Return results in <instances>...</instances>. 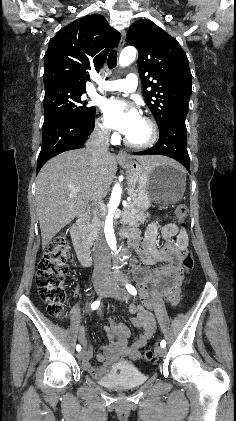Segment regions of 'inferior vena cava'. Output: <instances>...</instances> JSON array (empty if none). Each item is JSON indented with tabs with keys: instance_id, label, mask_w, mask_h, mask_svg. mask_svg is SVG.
Returning a JSON list of instances; mask_svg holds the SVG:
<instances>
[{
	"instance_id": "inferior-vena-cava-1",
	"label": "inferior vena cava",
	"mask_w": 236,
	"mask_h": 421,
	"mask_svg": "<svg viewBox=\"0 0 236 421\" xmlns=\"http://www.w3.org/2000/svg\"><path fill=\"white\" fill-rule=\"evenodd\" d=\"M109 138L110 130L108 128L95 126L86 142V150L89 152L93 164H98V162H101L103 154H108ZM95 200H97L99 206L104 204L101 194H96ZM97 215L99 219V213ZM106 249L105 239H103L102 235H99L94 245L95 271H99V273H110L111 263L109 257H105Z\"/></svg>"
}]
</instances>
